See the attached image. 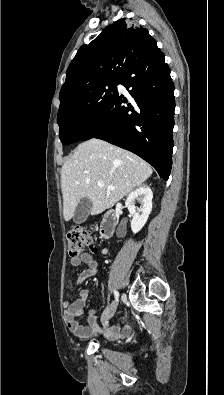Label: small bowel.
Listing matches in <instances>:
<instances>
[{"label":"small bowel","instance_id":"obj_1","mask_svg":"<svg viewBox=\"0 0 224 395\" xmlns=\"http://www.w3.org/2000/svg\"><path fill=\"white\" fill-rule=\"evenodd\" d=\"M70 263L73 266H79L81 263L86 265V269L77 276L75 285H80L84 280L93 277L99 268L98 261L90 253H82L79 257L71 259ZM89 296V289H82L78 298L65 301L63 304L66 324L75 336L86 338L93 334L105 333L110 338H119L129 334V328L123 319L116 325L101 328L93 310L86 319L87 325L80 324L77 318L83 313Z\"/></svg>","mask_w":224,"mask_h":395}]
</instances>
